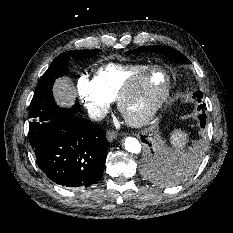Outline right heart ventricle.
<instances>
[{
	"label": "right heart ventricle",
	"mask_w": 233,
	"mask_h": 233,
	"mask_svg": "<svg viewBox=\"0 0 233 233\" xmlns=\"http://www.w3.org/2000/svg\"><path fill=\"white\" fill-rule=\"evenodd\" d=\"M150 68L151 66L144 64H108L96 71L94 80L103 96L108 101H114L124 85L138 78Z\"/></svg>",
	"instance_id": "obj_1"
}]
</instances>
